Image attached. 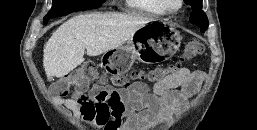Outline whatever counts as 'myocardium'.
I'll use <instances>...</instances> for the list:
<instances>
[{"label": "myocardium", "mask_w": 257, "mask_h": 130, "mask_svg": "<svg viewBox=\"0 0 257 130\" xmlns=\"http://www.w3.org/2000/svg\"><path fill=\"white\" fill-rule=\"evenodd\" d=\"M162 6L167 12L176 13L180 11L184 5V0H176V5L172 3V0H160Z\"/></svg>", "instance_id": "1"}]
</instances>
